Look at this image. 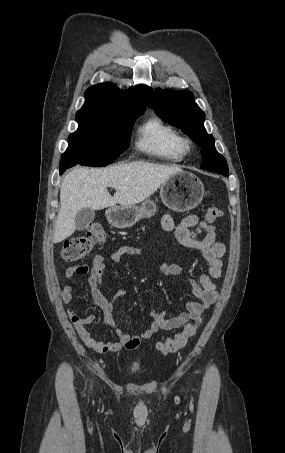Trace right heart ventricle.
Masks as SVG:
<instances>
[{"label":"right heart ventricle","mask_w":285,"mask_h":453,"mask_svg":"<svg viewBox=\"0 0 285 453\" xmlns=\"http://www.w3.org/2000/svg\"><path fill=\"white\" fill-rule=\"evenodd\" d=\"M180 140L181 136L172 125L152 116L140 126L136 146L159 159L177 162L185 155Z\"/></svg>","instance_id":"right-heart-ventricle-1"}]
</instances>
